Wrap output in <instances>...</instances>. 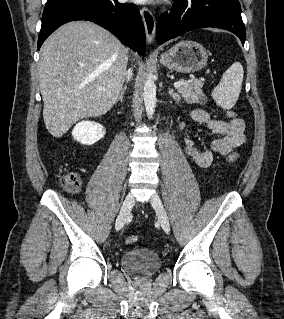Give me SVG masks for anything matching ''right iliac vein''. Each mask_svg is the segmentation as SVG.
<instances>
[{
	"label": "right iliac vein",
	"instance_id": "63e3f726",
	"mask_svg": "<svg viewBox=\"0 0 284 319\" xmlns=\"http://www.w3.org/2000/svg\"><path fill=\"white\" fill-rule=\"evenodd\" d=\"M134 202H135L134 195L132 193H128L122 204V207L120 209V212L115 222L116 230H120L124 226L128 218V215L130 214V211L134 205Z\"/></svg>",
	"mask_w": 284,
	"mask_h": 319
}]
</instances>
